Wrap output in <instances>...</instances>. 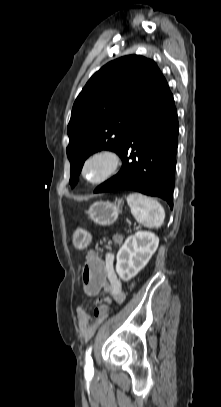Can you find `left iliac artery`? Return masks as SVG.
Here are the masks:
<instances>
[{
	"label": "left iliac artery",
	"mask_w": 221,
	"mask_h": 407,
	"mask_svg": "<svg viewBox=\"0 0 221 407\" xmlns=\"http://www.w3.org/2000/svg\"><path fill=\"white\" fill-rule=\"evenodd\" d=\"M91 352H92V347H90L86 352V357H85V362H86L85 363V375H86V377H91L94 373Z\"/></svg>",
	"instance_id": "1"
}]
</instances>
